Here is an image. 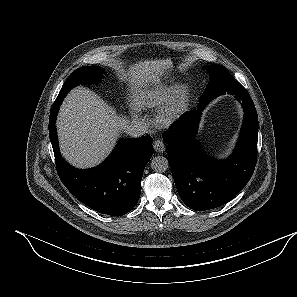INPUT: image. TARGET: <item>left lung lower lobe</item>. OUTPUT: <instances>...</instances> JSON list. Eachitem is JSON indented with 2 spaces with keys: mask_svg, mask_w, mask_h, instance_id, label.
<instances>
[{
  "mask_svg": "<svg viewBox=\"0 0 297 297\" xmlns=\"http://www.w3.org/2000/svg\"><path fill=\"white\" fill-rule=\"evenodd\" d=\"M235 97L244 108V120L237 146L228 159L210 158L194 140L201 111L210 101L199 102L198 109L186 112L163 135L177 191L193 210H209L227 203L253 175L257 159V112L248 93Z\"/></svg>",
  "mask_w": 297,
  "mask_h": 297,
  "instance_id": "left-lung-lower-lobe-1",
  "label": "left lung lower lobe"
}]
</instances>
